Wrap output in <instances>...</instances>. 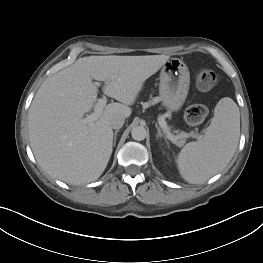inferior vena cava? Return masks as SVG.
I'll return each instance as SVG.
<instances>
[{
    "mask_svg": "<svg viewBox=\"0 0 263 263\" xmlns=\"http://www.w3.org/2000/svg\"><path fill=\"white\" fill-rule=\"evenodd\" d=\"M125 122V117L123 115H115L114 117H112V119L110 120V125L113 129H120Z\"/></svg>",
    "mask_w": 263,
    "mask_h": 263,
    "instance_id": "1",
    "label": "inferior vena cava"
}]
</instances>
